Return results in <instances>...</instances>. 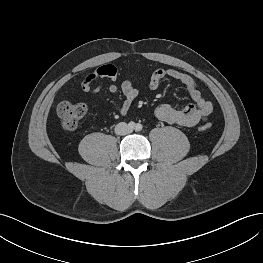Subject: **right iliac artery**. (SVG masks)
<instances>
[{
    "label": "right iliac artery",
    "mask_w": 263,
    "mask_h": 263,
    "mask_svg": "<svg viewBox=\"0 0 263 263\" xmlns=\"http://www.w3.org/2000/svg\"><path fill=\"white\" fill-rule=\"evenodd\" d=\"M128 126H129L130 129H134L135 123L131 121V122L128 124Z\"/></svg>",
    "instance_id": "right-iliac-artery-1"
}]
</instances>
